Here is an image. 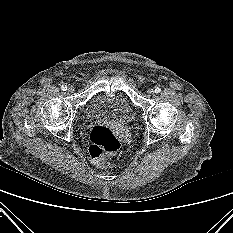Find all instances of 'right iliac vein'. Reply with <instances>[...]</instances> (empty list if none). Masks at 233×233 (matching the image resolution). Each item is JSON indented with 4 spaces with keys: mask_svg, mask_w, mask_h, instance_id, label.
Listing matches in <instances>:
<instances>
[{
    "mask_svg": "<svg viewBox=\"0 0 233 233\" xmlns=\"http://www.w3.org/2000/svg\"><path fill=\"white\" fill-rule=\"evenodd\" d=\"M67 90L68 92L72 93L74 91V87L72 85H69Z\"/></svg>",
    "mask_w": 233,
    "mask_h": 233,
    "instance_id": "1",
    "label": "right iliac vein"
}]
</instances>
